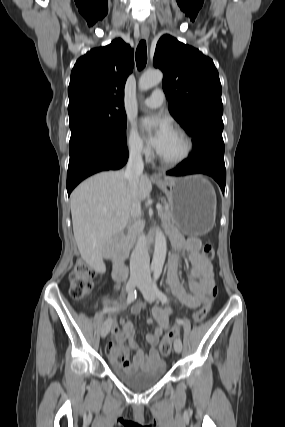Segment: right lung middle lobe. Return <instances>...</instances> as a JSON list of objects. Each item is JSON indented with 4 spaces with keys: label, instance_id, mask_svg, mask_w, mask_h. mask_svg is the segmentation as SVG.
I'll list each match as a JSON object with an SVG mask.
<instances>
[{
    "label": "right lung middle lobe",
    "instance_id": "right-lung-middle-lobe-1",
    "mask_svg": "<svg viewBox=\"0 0 285 427\" xmlns=\"http://www.w3.org/2000/svg\"><path fill=\"white\" fill-rule=\"evenodd\" d=\"M71 153L81 143L97 139L114 146H126L125 111L88 109L69 115Z\"/></svg>",
    "mask_w": 285,
    "mask_h": 427
}]
</instances>
